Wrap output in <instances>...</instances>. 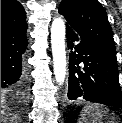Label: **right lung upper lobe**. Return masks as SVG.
Returning a JSON list of instances; mask_svg holds the SVG:
<instances>
[{"mask_svg":"<svg viewBox=\"0 0 122 123\" xmlns=\"http://www.w3.org/2000/svg\"><path fill=\"white\" fill-rule=\"evenodd\" d=\"M27 29L26 12L15 0L1 1V28Z\"/></svg>","mask_w":122,"mask_h":123,"instance_id":"obj_1","label":"right lung upper lobe"}]
</instances>
